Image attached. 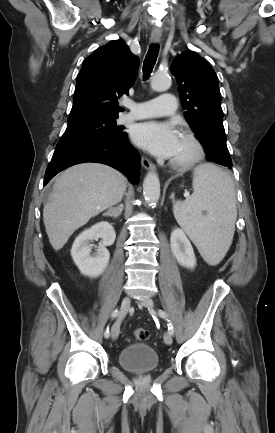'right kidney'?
<instances>
[{"mask_svg":"<svg viewBox=\"0 0 275 433\" xmlns=\"http://www.w3.org/2000/svg\"><path fill=\"white\" fill-rule=\"evenodd\" d=\"M101 238L97 252L91 255L92 244L90 241ZM116 234L113 226L104 221L84 230L74 241L71 248V256L80 272L89 277H98L106 269L110 253L107 246L115 242Z\"/></svg>","mask_w":275,"mask_h":433,"instance_id":"obj_1","label":"right kidney"}]
</instances>
